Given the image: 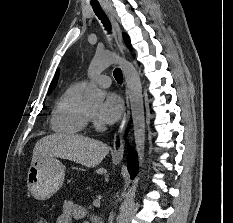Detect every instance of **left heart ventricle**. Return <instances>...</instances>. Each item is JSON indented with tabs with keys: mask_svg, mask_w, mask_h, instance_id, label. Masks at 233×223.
Wrapping results in <instances>:
<instances>
[{
	"mask_svg": "<svg viewBox=\"0 0 233 223\" xmlns=\"http://www.w3.org/2000/svg\"><path fill=\"white\" fill-rule=\"evenodd\" d=\"M99 106H100V105H99ZM99 106H90V107H88V109H89L93 114H95V113L98 111Z\"/></svg>",
	"mask_w": 233,
	"mask_h": 223,
	"instance_id": "left-heart-ventricle-1",
	"label": "left heart ventricle"
}]
</instances>
